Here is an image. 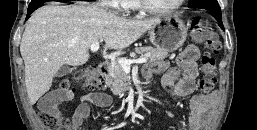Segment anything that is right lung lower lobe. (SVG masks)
I'll list each match as a JSON object with an SVG mask.
<instances>
[{
  "label": "right lung lower lobe",
  "mask_w": 257,
  "mask_h": 130,
  "mask_svg": "<svg viewBox=\"0 0 257 130\" xmlns=\"http://www.w3.org/2000/svg\"><path fill=\"white\" fill-rule=\"evenodd\" d=\"M33 11H28V14L27 15H29L30 13H32ZM28 18V16L26 17V19Z\"/></svg>",
  "instance_id": "98d812e1"
}]
</instances>
